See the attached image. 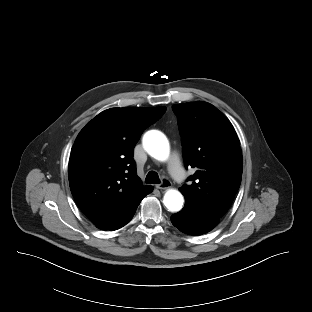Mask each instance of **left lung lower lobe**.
<instances>
[{
    "label": "left lung lower lobe",
    "mask_w": 312,
    "mask_h": 312,
    "mask_svg": "<svg viewBox=\"0 0 312 312\" xmlns=\"http://www.w3.org/2000/svg\"><path fill=\"white\" fill-rule=\"evenodd\" d=\"M171 221L183 233L201 235L212 230L218 224L219 218L185 204L182 211L171 216Z\"/></svg>",
    "instance_id": "left-lung-lower-lobe-1"
}]
</instances>
